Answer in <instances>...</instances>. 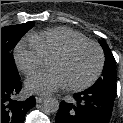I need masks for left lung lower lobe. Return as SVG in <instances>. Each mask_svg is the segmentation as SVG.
I'll return each instance as SVG.
<instances>
[{
	"label": "left lung lower lobe",
	"instance_id": "0a47b994",
	"mask_svg": "<svg viewBox=\"0 0 123 123\" xmlns=\"http://www.w3.org/2000/svg\"><path fill=\"white\" fill-rule=\"evenodd\" d=\"M115 97V91L92 88L74 94L73 103H60L55 123H108Z\"/></svg>",
	"mask_w": 123,
	"mask_h": 123
}]
</instances>
